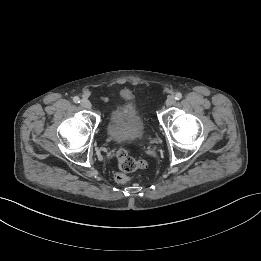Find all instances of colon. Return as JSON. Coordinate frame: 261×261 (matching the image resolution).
<instances>
[{
    "mask_svg": "<svg viewBox=\"0 0 261 261\" xmlns=\"http://www.w3.org/2000/svg\"><path fill=\"white\" fill-rule=\"evenodd\" d=\"M117 162L119 172L115 174V180L117 183L123 184L129 180V174L137 170H143L147 168L148 164L143 159H135L130 156L125 150L120 149L117 152Z\"/></svg>",
    "mask_w": 261,
    "mask_h": 261,
    "instance_id": "5ec220e1",
    "label": "colon"
}]
</instances>
